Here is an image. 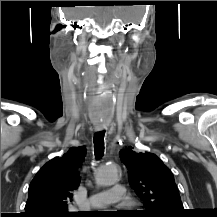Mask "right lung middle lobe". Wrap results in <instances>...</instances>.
Returning a JSON list of instances; mask_svg holds the SVG:
<instances>
[{
  "mask_svg": "<svg viewBox=\"0 0 217 217\" xmlns=\"http://www.w3.org/2000/svg\"><path fill=\"white\" fill-rule=\"evenodd\" d=\"M58 217H76L75 214H72V215H61V216H58Z\"/></svg>",
  "mask_w": 217,
  "mask_h": 217,
  "instance_id": "obj_1",
  "label": "right lung middle lobe"
}]
</instances>
